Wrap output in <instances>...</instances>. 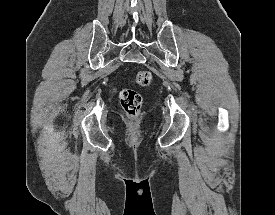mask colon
I'll return each mask as SVG.
<instances>
[{
    "label": "colon",
    "mask_w": 275,
    "mask_h": 215,
    "mask_svg": "<svg viewBox=\"0 0 275 215\" xmlns=\"http://www.w3.org/2000/svg\"><path fill=\"white\" fill-rule=\"evenodd\" d=\"M152 79L153 77L151 72L141 70L136 73L134 82L137 86L146 87L151 84ZM119 98L128 117L132 119L136 118L142 106L141 95L133 88H125L121 90Z\"/></svg>",
    "instance_id": "5ec220e1"
}]
</instances>
